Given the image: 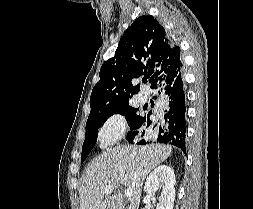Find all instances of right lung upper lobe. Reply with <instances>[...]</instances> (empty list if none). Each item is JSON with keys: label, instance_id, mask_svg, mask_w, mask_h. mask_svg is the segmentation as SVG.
<instances>
[{"label": "right lung upper lobe", "instance_id": "1", "mask_svg": "<svg viewBox=\"0 0 253 209\" xmlns=\"http://www.w3.org/2000/svg\"><path fill=\"white\" fill-rule=\"evenodd\" d=\"M183 67L180 47L171 43L164 28L153 16H141L125 31L115 56L100 69V80L90 97V116L129 107L139 91L134 78L147 77L151 88ZM160 75V76H159Z\"/></svg>", "mask_w": 253, "mask_h": 209}]
</instances>
